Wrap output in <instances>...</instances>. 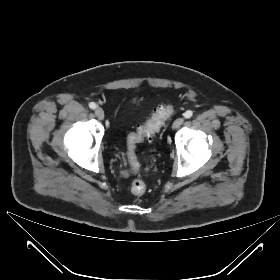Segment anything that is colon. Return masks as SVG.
Wrapping results in <instances>:
<instances>
[{"mask_svg":"<svg viewBox=\"0 0 280 280\" xmlns=\"http://www.w3.org/2000/svg\"><path fill=\"white\" fill-rule=\"evenodd\" d=\"M174 111L173 104L157 108L152 117L143 125H137L135 132L131 133L126 141L127 154L130 165L133 170L139 167V163L135 154L136 144L144 139L152 140L156 133L163 126L164 122L172 115ZM146 191V184L143 180L136 179L131 183V192L136 196L144 194Z\"/></svg>","mask_w":280,"mask_h":280,"instance_id":"5ec220e1","label":"colon"}]
</instances>
